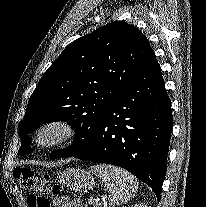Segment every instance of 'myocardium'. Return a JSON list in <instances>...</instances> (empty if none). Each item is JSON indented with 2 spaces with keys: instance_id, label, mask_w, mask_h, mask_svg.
Masks as SVG:
<instances>
[{
  "instance_id": "f54148a6",
  "label": "myocardium",
  "mask_w": 206,
  "mask_h": 207,
  "mask_svg": "<svg viewBox=\"0 0 206 207\" xmlns=\"http://www.w3.org/2000/svg\"><path fill=\"white\" fill-rule=\"evenodd\" d=\"M49 132H53L54 136L49 140L44 139ZM77 136L78 130L71 122L64 119H51L35 130L32 142L40 150H54L72 143Z\"/></svg>"
}]
</instances>
